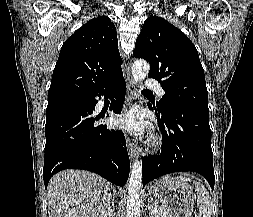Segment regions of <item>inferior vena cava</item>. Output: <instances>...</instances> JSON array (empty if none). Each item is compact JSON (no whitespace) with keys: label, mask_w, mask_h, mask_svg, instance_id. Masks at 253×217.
I'll return each instance as SVG.
<instances>
[{"label":"inferior vena cava","mask_w":253,"mask_h":217,"mask_svg":"<svg viewBox=\"0 0 253 217\" xmlns=\"http://www.w3.org/2000/svg\"><path fill=\"white\" fill-rule=\"evenodd\" d=\"M115 192H116V194H121L122 191H121V189H116Z\"/></svg>","instance_id":"inferior-vena-cava-1"}]
</instances>
